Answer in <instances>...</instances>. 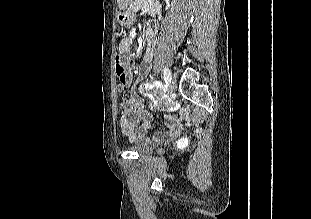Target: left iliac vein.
Wrapping results in <instances>:
<instances>
[{"instance_id": "left-iliac-vein-1", "label": "left iliac vein", "mask_w": 311, "mask_h": 219, "mask_svg": "<svg viewBox=\"0 0 311 219\" xmlns=\"http://www.w3.org/2000/svg\"><path fill=\"white\" fill-rule=\"evenodd\" d=\"M177 87L176 81L174 79L170 80L168 85V94H172L175 92Z\"/></svg>"}]
</instances>
